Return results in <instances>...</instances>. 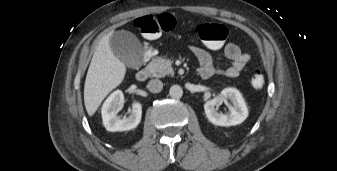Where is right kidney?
Listing matches in <instances>:
<instances>
[{
  "mask_svg": "<svg viewBox=\"0 0 337 171\" xmlns=\"http://www.w3.org/2000/svg\"><path fill=\"white\" fill-rule=\"evenodd\" d=\"M124 104V95L121 90L114 91L103 103L102 119L107 131H127L138 126L142 116V106L139 102L132 104L130 115L120 118L117 113Z\"/></svg>",
  "mask_w": 337,
  "mask_h": 171,
  "instance_id": "ca27d5eb",
  "label": "right kidney"
}]
</instances>
